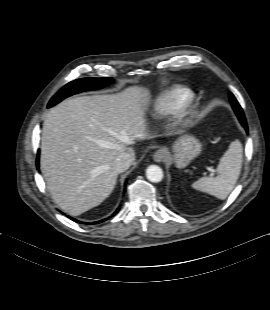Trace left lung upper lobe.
I'll return each instance as SVG.
<instances>
[{
    "mask_svg": "<svg viewBox=\"0 0 270 310\" xmlns=\"http://www.w3.org/2000/svg\"><path fill=\"white\" fill-rule=\"evenodd\" d=\"M229 97H230L233 109H234L236 115L238 116L241 124L244 126V128H247L245 116H244V113H243L241 106L239 105V103L237 102L236 98L234 97V95L232 93L229 94Z\"/></svg>",
    "mask_w": 270,
    "mask_h": 310,
    "instance_id": "5c2ea615",
    "label": "left lung upper lobe"
}]
</instances>
